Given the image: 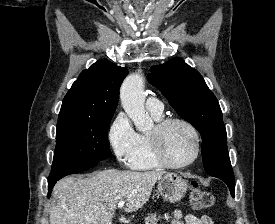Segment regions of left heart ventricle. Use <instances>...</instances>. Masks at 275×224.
Returning a JSON list of instances; mask_svg holds the SVG:
<instances>
[{"mask_svg":"<svg viewBox=\"0 0 275 224\" xmlns=\"http://www.w3.org/2000/svg\"><path fill=\"white\" fill-rule=\"evenodd\" d=\"M162 143L166 156L173 163H184L194 154L193 135L186 126L180 123H173L165 129Z\"/></svg>","mask_w":275,"mask_h":224,"instance_id":"obj_1","label":"left heart ventricle"}]
</instances>
